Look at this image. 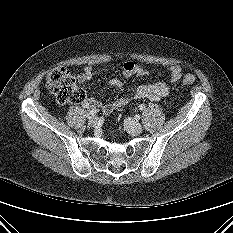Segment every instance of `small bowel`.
Returning <instances> with one entry per match:
<instances>
[{"mask_svg": "<svg viewBox=\"0 0 233 233\" xmlns=\"http://www.w3.org/2000/svg\"><path fill=\"white\" fill-rule=\"evenodd\" d=\"M168 71L172 81H177L182 76V69L178 65L171 66ZM146 73V70L133 60H126L122 67V74L126 78L140 77ZM95 75L96 71L90 67L86 68L83 73L77 76V82L79 84H84L90 81ZM108 87L121 90L123 88V83L119 79L113 78L106 83L105 88ZM169 94L170 90L167 84L164 81H157L149 84H141L132 95L122 96L111 103L101 104L97 99L89 97L85 100L84 105L87 107H94V109L99 107L103 112L110 113L115 109L125 107L131 100L149 99L151 101H160L168 97Z\"/></svg>", "mask_w": 233, "mask_h": 233, "instance_id": "1", "label": "small bowel"}]
</instances>
